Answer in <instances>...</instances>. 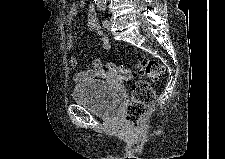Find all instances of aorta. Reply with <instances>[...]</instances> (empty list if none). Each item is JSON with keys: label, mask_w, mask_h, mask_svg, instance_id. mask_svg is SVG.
<instances>
[{"label": "aorta", "mask_w": 225, "mask_h": 159, "mask_svg": "<svg viewBox=\"0 0 225 159\" xmlns=\"http://www.w3.org/2000/svg\"><path fill=\"white\" fill-rule=\"evenodd\" d=\"M95 3L99 7H104L106 5V0H96Z\"/></svg>", "instance_id": "aorta-1"}]
</instances>
